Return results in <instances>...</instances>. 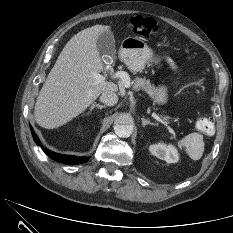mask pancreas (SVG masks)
Segmentation results:
<instances>
[{"instance_id": "1", "label": "pancreas", "mask_w": 233, "mask_h": 233, "mask_svg": "<svg viewBox=\"0 0 233 233\" xmlns=\"http://www.w3.org/2000/svg\"><path fill=\"white\" fill-rule=\"evenodd\" d=\"M131 84L135 90H144L150 97L154 98L156 88L149 80L138 77L133 82H131ZM164 119L168 120L169 117L165 116Z\"/></svg>"}]
</instances>
